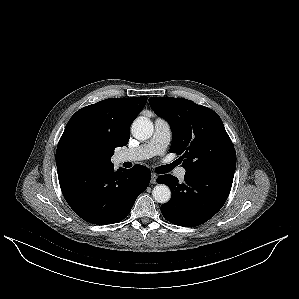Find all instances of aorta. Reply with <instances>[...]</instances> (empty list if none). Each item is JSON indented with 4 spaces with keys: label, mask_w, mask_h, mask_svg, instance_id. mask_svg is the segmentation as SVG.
<instances>
[{
    "label": "aorta",
    "mask_w": 299,
    "mask_h": 299,
    "mask_svg": "<svg viewBox=\"0 0 299 299\" xmlns=\"http://www.w3.org/2000/svg\"><path fill=\"white\" fill-rule=\"evenodd\" d=\"M154 131L153 123L145 117L137 118L131 126L133 137L138 140L149 139ZM153 198L156 202L164 204L171 198L170 188L164 184H157L152 191Z\"/></svg>",
    "instance_id": "aorta-1"
}]
</instances>
